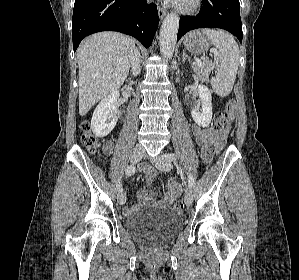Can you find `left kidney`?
<instances>
[{
	"label": "left kidney",
	"instance_id": "5707ae66",
	"mask_svg": "<svg viewBox=\"0 0 299 280\" xmlns=\"http://www.w3.org/2000/svg\"><path fill=\"white\" fill-rule=\"evenodd\" d=\"M198 94L201 101L200 105L191 111V116L195 123L201 127H207L212 120V96L211 91L205 85L198 86ZM201 110V112H200Z\"/></svg>",
	"mask_w": 299,
	"mask_h": 280
}]
</instances>
